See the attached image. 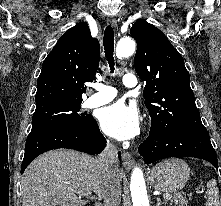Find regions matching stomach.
Wrapping results in <instances>:
<instances>
[{"mask_svg":"<svg viewBox=\"0 0 221 206\" xmlns=\"http://www.w3.org/2000/svg\"><path fill=\"white\" fill-rule=\"evenodd\" d=\"M189 175V166L183 160L173 158L154 166L149 179L156 190L173 193L180 191L185 186Z\"/></svg>","mask_w":221,"mask_h":206,"instance_id":"0dacf381","label":"stomach"}]
</instances>
